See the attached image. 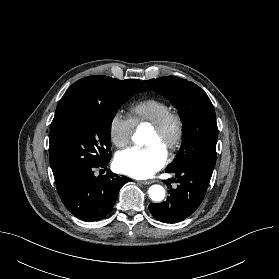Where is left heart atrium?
<instances>
[{
	"instance_id": "39dd6f15",
	"label": "left heart atrium",
	"mask_w": 279,
	"mask_h": 279,
	"mask_svg": "<svg viewBox=\"0 0 279 279\" xmlns=\"http://www.w3.org/2000/svg\"><path fill=\"white\" fill-rule=\"evenodd\" d=\"M167 161V152L157 145L130 147L117 153L114 164L122 174L137 179L154 175Z\"/></svg>"
}]
</instances>
